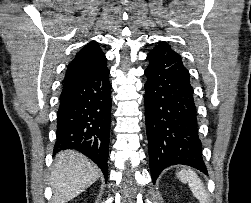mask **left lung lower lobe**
Masks as SVG:
<instances>
[{"label":"left lung lower lobe","instance_id":"obj_1","mask_svg":"<svg viewBox=\"0 0 251 203\" xmlns=\"http://www.w3.org/2000/svg\"><path fill=\"white\" fill-rule=\"evenodd\" d=\"M147 59L144 102L153 183L162 170L175 164L207 174L190 75L181 56L161 42Z\"/></svg>","mask_w":251,"mask_h":203}]
</instances>
